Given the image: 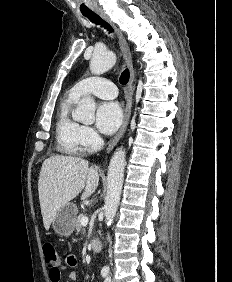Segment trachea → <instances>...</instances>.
<instances>
[{"instance_id": "trachea-1", "label": "trachea", "mask_w": 232, "mask_h": 282, "mask_svg": "<svg viewBox=\"0 0 232 282\" xmlns=\"http://www.w3.org/2000/svg\"><path fill=\"white\" fill-rule=\"evenodd\" d=\"M85 17H87L92 23H95L96 25H100L104 29H106L109 33H113L114 29L105 21L103 20L100 16L95 14L94 12H89V13H83ZM129 70L126 68L120 75L119 81L122 85L127 84L129 81Z\"/></svg>"}]
</instances>
